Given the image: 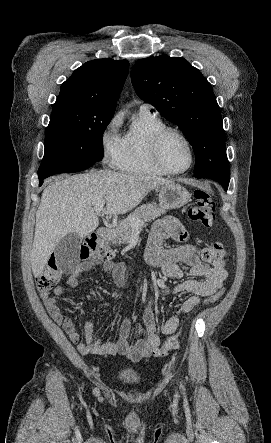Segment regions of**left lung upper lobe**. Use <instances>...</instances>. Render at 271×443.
I'll return each instance as SVG.
<instances>
[{
  "label": "left lung upper lobe",
  "instance_id": "obj_1",
  "mask_svg": "<svg viewBox=\"0 0 271 443\" xmlns=\"http://www.w3.org/2000/svg\"><path fill=\"white\" fill-rule=\"evenodd\" d=\"M137 95L178 125L195 153V177L218 181L227 190L229 166L222 117L211 84L187 60L161 55L135 63Z\"/></svg>",
  "mask_w": 271,
  "mask_h": 443
}]
</instances>
